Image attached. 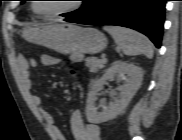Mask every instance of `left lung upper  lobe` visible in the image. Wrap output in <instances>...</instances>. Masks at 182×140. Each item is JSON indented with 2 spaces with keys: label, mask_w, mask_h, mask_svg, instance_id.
<instances>
[{
  "label": "left lung upper lobe",
  "mask_w": 182,
  "mask_h": 140,
  "mask_svg": "<svg viewBox=\"0 0 182 140\" xmlns=\"http://www.w3.org/2000/svg\"><path fill=\"white\" fill-rule=\"evenodd\" d=\"M100 0H86L80 10L71 12L69 14H62L64 17H79V16H85L88 15L92 10L95 9V7L98 5ZM22 3H24V0H22Z\"/></svg>",
  "instance_id": "1"
}]
</instances>
